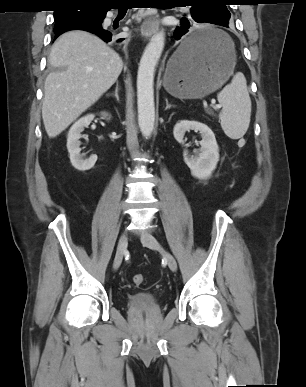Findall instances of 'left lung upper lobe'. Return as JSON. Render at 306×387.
I'll list each match as a JSON object with an SVG mask.
<instances>
[{"mask_svg":"<svg viewBox=\"0 0 306 387\" xmlns=\"http://www.w3.org/2000/svg\"><path fill=\"white\" fill-rule=\"evenodd\" d=\"M225 2L226 0H186L185 3L191 5V15H204L211 23L226 24L231 14Z\"/></svg>","mask_w":306,"mask_h":387,"instance_id":"1","label":"left lung upper lobe"}]
</instances>
